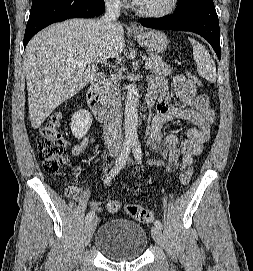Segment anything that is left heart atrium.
Wrapping results in <instances>:
<instances>
[{
	"instance_id": "1",
	"label": "left heart atrium",
	"mask_w": 253,
	"mask_h": 271,
	"mask_svg": "<svg viewBox=\"0 0 253 271\" xmlns=\"http://www.w3.org/2000/svg\"><path fill=\"white\" fill-rule=\"evenodd\" d=\"M135 3H137L138 2V0H133Z\"/></svg>"
}]
</instances>
